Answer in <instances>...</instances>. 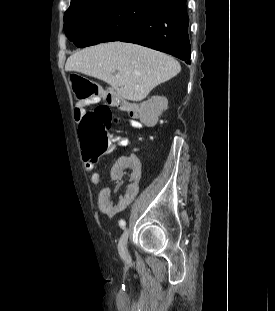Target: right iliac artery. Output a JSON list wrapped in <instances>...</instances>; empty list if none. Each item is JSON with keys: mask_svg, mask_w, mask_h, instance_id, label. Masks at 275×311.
Masks as SVG:
<instances>
[{"mask_svg": "<svg viewBox=\"0 0 275 311\" xmlns=\"http://www.w3.org/2000/svg\"><path fill=\"white\" fill-rule=\"evenodd\" d=\"M119 225H120L122 228H124L125 225H126V222H125L124 220H120V221H119Z\"/></svg>", "mask_w": 275, "mask_h": 311, "instance_id": "82829eb1", "label": "right iliac artery"}]
</instances>
